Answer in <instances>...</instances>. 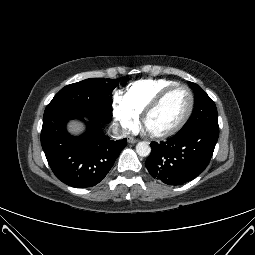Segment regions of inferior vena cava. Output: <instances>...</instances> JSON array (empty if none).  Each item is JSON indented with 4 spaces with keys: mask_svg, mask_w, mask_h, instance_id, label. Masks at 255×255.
Wrapping results in <instances>:
<instances>
[{
    "mask_svg": "<svg viewBox=\"0 0 255 255\" xmlns=\"http://www.w3.org/2000/svg\"><path fill=\"white\" fill-rule=\"evenodd\" d=\"M128 135V132L123 130V129H119L115 126L112 127V136L116 139H122L124 137H126Z\"/></svg>",
    "mask_w": 255,
    "mask_h": 255,
    "instance_id": "602c4592",
    "label": "inferior vena cava"
}]
</instances>
